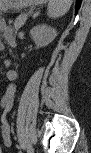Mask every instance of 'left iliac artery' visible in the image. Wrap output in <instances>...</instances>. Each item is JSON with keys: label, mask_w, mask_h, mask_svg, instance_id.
Listing matches in <instances>:
<instances>
[{"label": "left iliac artery", "mask_w": 91, "mask_h": 153, "mask_svg": "<svg viewBox=\"0 0 91 153\" xmlns=\"http://www.w3.org/2000/svg\"><path fill=\"white\" fill-rule=\"evenodd\" d=\"M18 153H23V151H18Z\"/></svg>", "instance_id": "1"}]
</instances>
